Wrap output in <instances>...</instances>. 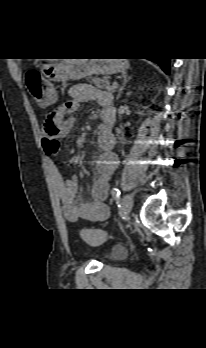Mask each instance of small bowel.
<instances>
[{"mask_svg":"<svg viewBox=\"0 0 206 348\" xmlns=\"http://www.w3.org/2000/svg\"><path fill=\"white\" fill-rule=\"evenodd\" d=\"M70 100L51 112L44 122V134L41 145L47 158V167L62 203L64 217L70 223L84 221H103L110 215L105 203L108 195L110 179L117 167V158L113 151L103 149L94 162L95 179L91 188V200L78 203V178L67 179L59 170L54 156L60 149L61 139L68 134L74 124L71 114L76 112L82 103L97 101L102 107H112L111 93L99 90L89 84H75L68 90ZM103 110V109H102Z\"/></svg>","mask_w":206,"mask_h":348,"instance_id":"obj_1","label":"small bowel"}]
</instances>
